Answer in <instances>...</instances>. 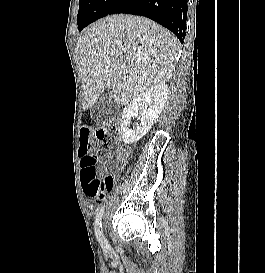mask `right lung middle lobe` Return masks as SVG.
<instances>
[{"label":"right lung middle lobe","mask_w":265,"mask_h":273,"mask_svg":"<svg viewBox=\"0 0 265 273\" xmlns=\"http://www.w3.org/2000/svg\"><path fill=\"white\" fill-rule=\"evenodd\" d=\"M117 0H79L77 24L79 31L107 15Z\"/></svg>","instance_id":"1"}]
</instances>
